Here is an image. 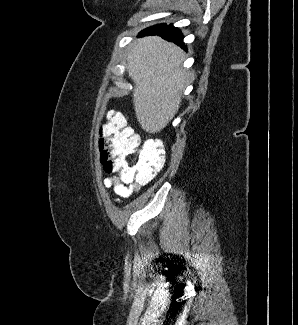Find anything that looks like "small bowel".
<instances>
[{"instance_id":"obj_1","label":"small bowel","mask_w":298,"mask_h":325,"mask_svg":"<svg viewBox=\"0 0 298 325\" xmlns=\"http://www.w3.org/2000/svg\"><path fill=\"white\" fill-rule=\"evenodd\" d=\"M103 184L106 188H112L116 197L114 200L116 202H121L123 198H127L130 195L137 193L140 190L138 184L133 185H123L114 177H106L103 180Z\"/></svg>"}]
</instances>
